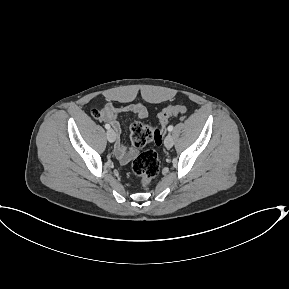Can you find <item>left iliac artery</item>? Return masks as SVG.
I'll return each instance as SVG.
<instances>
[{
    "label": "left iliac artery",
    "mask_w": 289,
    "mask_h": 289,
    "mask_svg": "<svg viewBox=\"0 0 289 289\" xmlns=\"http://www.w3.org/2000/svg\"><path fill=\"white\" fill-rule=\"evenodd\" d=\"M172 130H173V126H172V125H169V126H168V131L171 132Z\"/></svg>",
    "instance_id": "1"
}]
</instances>
